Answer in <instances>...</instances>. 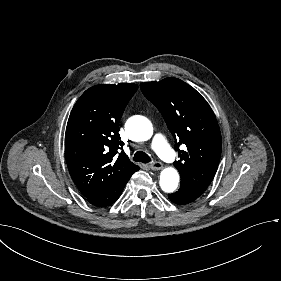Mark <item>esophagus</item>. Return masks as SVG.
Wrapping results in <instances>:
<instances>
[{
  "instance_id": "esophagus-1",
  "label": "esophagus",
  "mask_w": 281,
  "mask_h": 281,
  "mask_svg": "<svg viewBox=\"0 0 281 281\" xmlns=\"http://www.w3.org/2000/svg\"><path fill=\"white\" fill-rule=\"evenodd\" d=\"M162 167H163V164L161 162H158V161L150 164V168L152 170H160Z\"/></svg>"
}]
</instances>
